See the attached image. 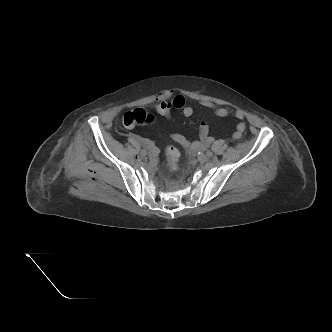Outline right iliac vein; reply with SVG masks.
<instances>
[{"label": "right iliac vein", "instance_id": "obj_1", "mask_svg": "<svg viewBox=\"0 0 332 332\" xmlns=\"http://www.w3.org/2000/svg\"><path fill=\"white\" fill-rule=\"evenodd\" d=\"M147 150L146 149H142L141 151H140V154L142 155V156H146L147 155Z\"/></svg>", "mask_w": 332, "mask_h": 332}]
</instances>
